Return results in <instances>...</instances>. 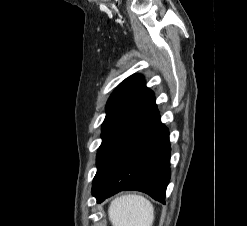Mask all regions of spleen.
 I'll return each mask as SVG.
<instances>
[{"label": "spleen", "instance_id": "spleen-1", "mask_svg": "<svg viewBox=\"0 0 247 226\" xmlns=\"http://www.w3.org/2000/svg\"><path fill=\"white\" fill-rule=\"evenodd\" d=\"M109 219L113 226H152L153 205L139 195H124L110 204Z\"/></svg>", "mask_w": 247, "mask_h": 226}]
</instances>
